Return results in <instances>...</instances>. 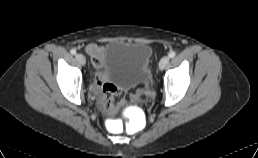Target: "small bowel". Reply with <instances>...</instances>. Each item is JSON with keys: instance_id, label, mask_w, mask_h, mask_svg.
Returning <instances> with one entry per match:
<instances>
[{"instance_id": "c3829d8e", "label": "small bowel", "mask_w": 258, "mask_h": 158, "mask_svg": "<svg viewBox=\"0 0 258 158\" xmlns=\"http://www.w3.org/2000/svg\"><path fill=\"white\" fill-rule=\"evenodd\" d=\"M85 52L93 59L94 66L97 71L94 89L98 92L101 100L105 101L104 104L115 94H119L122 97V94L117 90L116 86L109 81H103V77L100 74V61L103 49L94 43H90L86 45Z\"/></svg>"}]
</instances>
